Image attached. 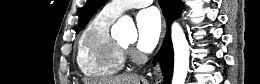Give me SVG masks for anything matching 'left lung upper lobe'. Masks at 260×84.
I'll use <instances>...</instances> for the list:
<instances>
[{
    "mask_svg": "<svg viewBox=\"0 0 260 84\" xmlns=\"http://www.w3.org/2000/svg\"><path fill=\"white\" fill-rule=\"evenodd\" d=\"M107 0H87L84 7L81 9L79 16V26L82 28Z\"/></svg>",
    "mask_w": 260,
    "mask_h": 84,
    "instance_id": "obj_1",
    "label": "left lung upper lobe"
}]
</instances>
